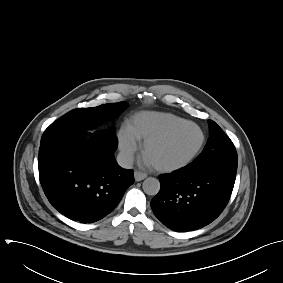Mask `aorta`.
<instances>
[{
  "instance_id": "762f6f07",
  "label": "aorta",
  "mask_w": 283,
  "mask_h": 283,
  "mask_svg": "<svg viewBox=\"0 0 283 283\" xmlns=\"http://www.w3.org/2000/svg\"><path fill=\"white\" fill-rule=\"evenodd\" d=\"M143 191L150 196L156 195L160 190V182L158 179L153 177H148L143 182Z\"/></svg>"
}]
</instances>
